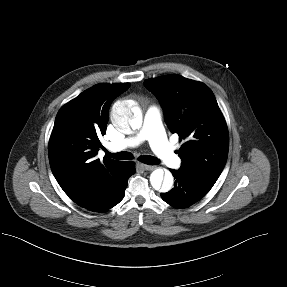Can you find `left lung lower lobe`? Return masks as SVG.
<instances>
[{
	"instance_id": "1",
	"label": "left lung lower lobe",
	"mask_w": 287,
	"mask_h": 287,
	"mask_svg": "<svg viewBox=\"0 0 287 287\" xmlns=\"http://www.w3.org/2000/svg\"><path fill=\"white\" fill-rule=\"evenodd\" d=\"M171 172L175 179L174 188L167 193H161V197L175 208L189 207L199 201L211 189L187 169H171Z\"/></svg>"
}]
</instances>
